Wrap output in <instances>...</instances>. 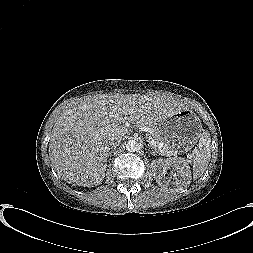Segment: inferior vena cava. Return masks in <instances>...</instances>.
<instances>
[{
	"label": "inferior vena cava",
	"instance_id": "602c4592",
	"mask_svg": "<svg viewBox=\"0 0 253 253\" xmlns=\"http://www.w3.org/2000/svg\"><path fill=\"white\" fill-rule=\"evenodd\" d=\"M121 141L119 138H114L112 142H110V146L114 147L117 146V144Z\"/></svg>",
	"mask_w": 253,
	"mask_h": 253
}]
</instances>
